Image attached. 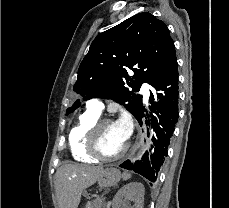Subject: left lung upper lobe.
Listing matches in <instances>:
<instances>
[{"mask_svg":"<svg viewBox=\"0 0 229 208\" xmlns=\"http://www.w3.org/2000/svg\"><path fill=\"white\" fill-rule=\"evenodd\" d=\"M176 64L167 25L149 12L138 13L97 35L80 64L73 90L84 100L112 99L135 116L142 107V97L133 92L139 91L142 82L159 85ZM129 70L133 76L128 75ZM79 105L80 100L75 101L66 114Z\"/></svg>","mask_w":229,"mask_h":208,"instance_id":"1","label":"left lung upper lobe"}]
</instances>
